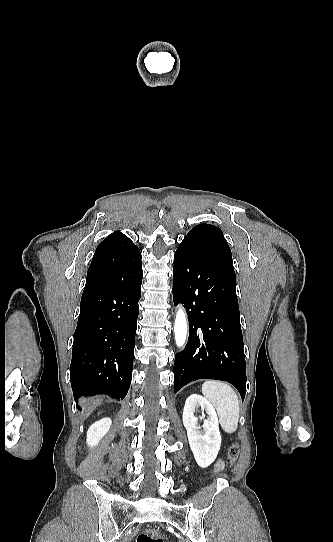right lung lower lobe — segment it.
Wrapping results in <instances>:
<instances>
[{"label":"right lung lower lobe","mask_w":333,"mask_h":542,"mask_svg":"<svg viewBox=\"0 0 333 542\" xmlns=\"http://www.w3.org/2000/svg\"><path fill=\"white\" fill-rule=\"evenodd\" d=\"M142 275L141 253L130 239L97 247L74 333L70 381L75 397L126 396L132 377Z\"/></svg>","instance_id":"obj_1"}]
</instances>
